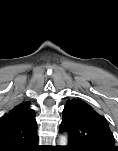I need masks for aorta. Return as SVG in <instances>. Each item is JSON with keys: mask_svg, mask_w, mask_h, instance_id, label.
<instances>
[{"mask_svg": "<svg viewBox=\"0 0 118 151\" xmlns=\"http://www.w3.org/2000/svg\"><path fill=\"white\" fill-rule=\"evenodd\" d=\"M59 146H67L68 144V136L67 134H62L60 137H59Z\"/></svg>", "mask_w": 118, "mask_h": 151, "instance_id": "aorta-1", "label": "aorta"}]
</instances>
